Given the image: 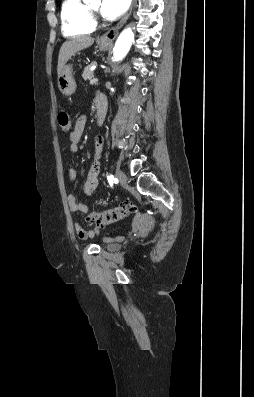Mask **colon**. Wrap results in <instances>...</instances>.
<instances>
[{
  "label": "colon",
  "mask_w": 254,
  "mask_h": 397,
  "mask_svg": "<svg viewBox=\"0 0 254 397\" xmlns=\"http://www.w3.org/2000/svg\"><path fill=\"white\" fill-rule=\"evenodd\" d=\"M58 124L60 128L67 132L71 128V122L69 115L66 111L62 110L58 114ZM136 211V206L132 203H123L114 208L100 211V212H91L88 215V221L90 223H94L100 226H107L114 224L126 216L134 213Z\"/></svg>",
  "instance_id": "obj_1"
}]
</instances>
